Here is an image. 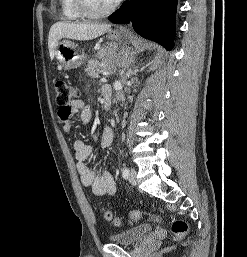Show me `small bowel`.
Masks as SVG:
<instances>
[{
  "mask_svg": "<svg viewBox=\"0 0 247 257\" xmlns=\"http://www.w3.org/2000/svg\"><path fill=\"white\" fill-rule=\"evenodd\" d=\"M77 113H80V119L88 123L91 119V110L83 100H75L66 111L59 110L58 118L63 125L65 132L69 133L73 127V119ZM114 138L112 128L105 127L101 133L99 145L101 147L109 146ZM75 158L77 160L76 168L80 175L81 183L89 187L96 196L113 195L117 186L113 176L108 171H93L87 163V159L92 154V146L81 140L74 142Z\"/></svg>",
  "mask_w": 247,
  "mask_h": 257,
  "instance_id": "1",
  "label": "small bowel"
}]
</instances>
